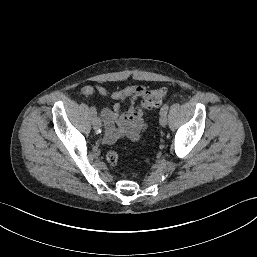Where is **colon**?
Here are the masks:
<instances>
[{
	"mask_svg": "<svg viewBox=\"0 0 257 257\" xmlns=\"http://www.w3.org/2000/svg\"><path fill=\"white\" fill-rule=\"evenodd\" d=\"M166 91L163 88L147 91L142 99V106L152 110L158 108L165 99ZM106 160L111 166L118 164V154L114 150H108Z\"/></svg>",
	"mask_w": 257,
	"mask_h": 257,
	"instance_id": "obj_1",
	"label": "colon"
}]
</instances>
